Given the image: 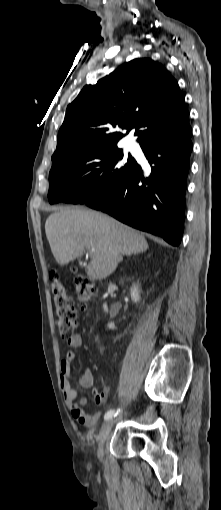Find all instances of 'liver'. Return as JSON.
<instances>
[{
    "mask_svg": "<svg viewBox=\"0 0 221 510\" xmlns=\"http://www.w3.org/2000/svg\"><path fill=\"white\" fill-rule=\"evenodd\" d=\"M45 232L52 254L60 265L89 251L88 277L102 280L111 275L122 260L148 249L138 231L91 210L60 209L46 219ZM94 248V252L91 249Z\"/></svg>",
    "mask_w": 221,
    "mask_h": 510,
    "instance_id": "6515ba94",
    "label": "liver"
}]
</instances>
